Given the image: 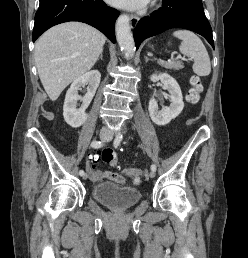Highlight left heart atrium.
<instances>
[{
    "instance_id": "left-heart-atrium-1",
    "label": "left heart atrium",
    "mask_w": 248,
    "mask_h": 258,
    "mask_svg": "<svg viewBox=\"0 0 248 258\" xmlns=\"http://www.w3.org/2000/svg\"><path fill=\"white\" fill-rule=\"evenodd\" d=\"M114 6L127 8V9H140L144 7L147 0H107Z\"/></svg>"
}]
</instances>
